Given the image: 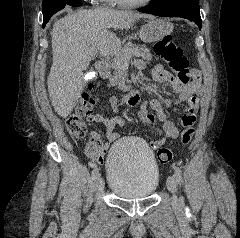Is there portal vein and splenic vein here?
<instances>
[{"label":"portal vein and splenic vein","instance_id":"obj_1","mask_svg":"<svg viewBox=\"0 0 240 238\" xmlns=\"http://www.w3.org/2000/svg\"><path fill=\"white\" fill-rule=\"evenodd\" d=\"M97 52H98V50L94 47L89 50V54L91 56H95L97 54ZM100 54L103 55V56H107V55H111V54H116L117 55L116 52H112V51H106V52L102 51V52H100ZM132 56L139 57L138 52L134 51V50L127 52L125 54V58H124L125 61H129L132 58Z\"/></svg>","mask_w":240,"mask_h":238}]
</instances>
